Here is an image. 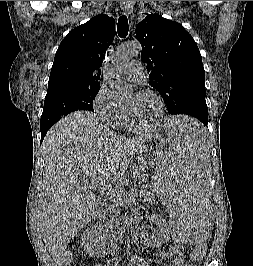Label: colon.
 Instances as JSON below:
<instances>
[{"mask_svg":"<svg viewBox=\"0 0 253 266\" xmlns=\"http://www.w3.org/2000/svg\"><path fill=\"white\" fill-rule=\"evenodd\" d=\"M207 248H208L207 243L203 242V247L202 248H193L192 257L194 259H201L206 254Z\"/></svg>","mask_w":253,"mask_h":266,"instance_id":"obj_1","label":"colon"}]
</instances>
